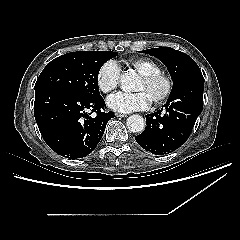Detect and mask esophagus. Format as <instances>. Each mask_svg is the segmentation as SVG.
Instances as JSON below:
<instances>
[{"mask_svg":"<svg viewBox=\"0 0 240 240\" xmlns=\"http://www.w3.org/2000/svg\"><path fill=\"white\" fill-rule=\"evenodd\" d=\"M115 115L117 116V117H121V118H124V117H127L128 115H126V114H121V113H115Z\"/></svg>","mask_w":240,"mask_h":240,"instance_id":"esophagus-1","label":"esophagus"}]
</instances>
